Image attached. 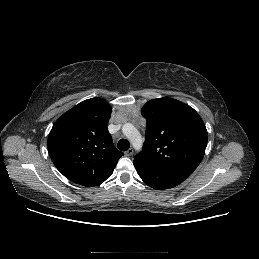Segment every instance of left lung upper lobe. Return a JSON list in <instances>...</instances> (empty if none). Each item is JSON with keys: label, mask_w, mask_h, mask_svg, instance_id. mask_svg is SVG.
<instances>
[{"label": "left lung upper lobe", "mask_w": 259, "mask_h": 259, "mask_svg": "<svg viewBox=\"0 0 259 259\" xmlns=\"http://www.w3.org/2000/svg\"><path fill=\"white\" fill-rule=\"evenodd\" d=\"M147 120L142 151L134 160L189 177L203 159L208 133L199 114L169 97L152 99L141 110Z\"/></svg>", "instance_id": "1"}]
</instances>
